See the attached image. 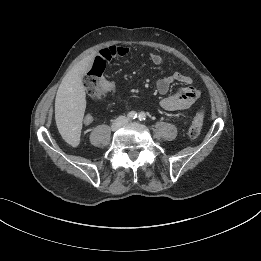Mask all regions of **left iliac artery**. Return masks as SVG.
Returning a JSON list of instances; mask_svg holds the SVG:
<instances>
[{
    "instance_id": "1",
    "label": "left iliac artery",
    "mask_w": 261,
    "mask_h": 261,
    "mask_svg": "<svg viewBox=\"0 0 261 261\" xmlns=\"http://www.w3.org/2000/svg\"><path fill=\"white\" fill-rule=\"evenodd\" d=\"M138 119H139L140 121H144V120L146 119L145 113H144V112H141V113L139 114V116H138Z\"/></svg>"
}]
</instances>
